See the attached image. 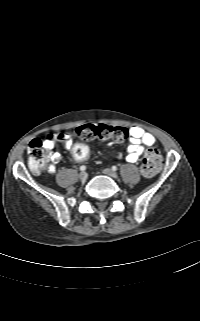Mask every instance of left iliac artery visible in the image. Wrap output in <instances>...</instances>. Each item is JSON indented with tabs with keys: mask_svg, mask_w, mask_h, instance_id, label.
I'll use <instances>...</instances> for the list:
<instances>
[{
	"mask_svg": "<svg viewBox=\"0 0 200 321\" xmlns=\"http://www.w3.org/2000/svg\"><path fill=\"white\" fill-rule=\"evenodd\" d=\"M112 170H113V171H116V170H117V167H116V166H112Z\"/></svg>",
	"mask_w": 200,
	"mask_h": 321,
	"instance_id": "left-iliac-artery-1",
	"label": "left iliac artery"
}]
</instances>
